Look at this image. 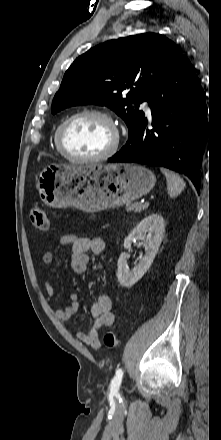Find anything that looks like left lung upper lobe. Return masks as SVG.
Wrapping results in <instances>:
<instances>
[{"instance_id":"5c2ea615","label":"left lung upper lobe","mask_w":221,"mask_h":440,"mask_svg":"<svg viewBox=\"0 0 221 440\" xmlns=\"http://www.w3.org/2000/svg\"><path fill=\"white\" fill-rule=\"evenodd\" d=\"M181 56L175 43L156 33L97 45L66 71L51 111L55 114L79 104L108 106L125 121L131 136L145 116L139 104L149 100Z\"/></svg>"}]
</instances>
